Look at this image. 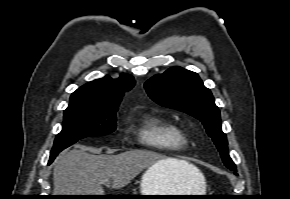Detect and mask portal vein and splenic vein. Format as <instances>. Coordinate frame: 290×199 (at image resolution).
<instances>
[{
    "mask_svg": "<svg viewBox=\"0 0 290 199\" xmlns=\"http://www.w3.org/2000/svg\"><path fill=\"white\" fill-rule=\"evenodd\" d=\"M103 184H105V185H108V184H109V182H108V181H105V182H103Z\"/></svg>",
    "mask_w": 290,
    "mask_h": 199,
    "instance_id": "18ae733b",
    "label": "portal vein and splenic vein"
}]
</instances>
